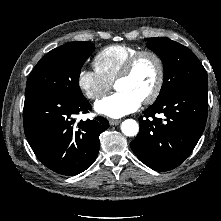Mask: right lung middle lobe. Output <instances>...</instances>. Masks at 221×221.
I'll use <instances>...</instances> for the list:
<instances>
[{"mask_svg":"<svg viewBox=\"0 0 221 221\" xmlns=\"http://www.w3.org/2000/svg\"><path fill=\"white\" fill-rule=\"evenodd\" d=\"M95 49L94 44L69 42L46 54L33 69L26 90H40L71 99L85 98L79 87L84 62Z\"/></svg>","mask_w":221,"mask_h":221,"instance_id":"obj_1","label":"right lung middle lobe"}]
</instances>
